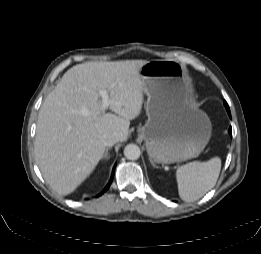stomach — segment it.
<instances>
[{"mask_svg": "<svg viewBox=\"0 0 261 254\" xmlns=\"http://www.w3.org/2000/svg\"><path fill=\"white\" fill-rule=\"evenodd\" d=\"M147 96L148 120L139 132L155 163L170 164L197 157L208 144L211 122L190 102L184 67L172 60L149 61L140 68Z\"/></svg>", "mask_w": 261, "mask_h": 254, "instance_id": "obj_1", "label": "stomach"}]
</instances>
